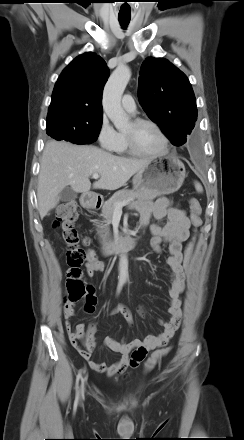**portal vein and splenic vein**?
Wrapping results in <instances>:
<instances>
[{
	"mask_svg": "<svg viewBox=\"0 0 244 440\" xmlns=\"http://www.w3.org/2000/svg\"><path fill=\"white\" fill-rule=\"evenodd\" d=\"M92 178L93 179H98L99 178V174H93L92 175ZM131 201H133L132 199H130V200H126V201H124V202H121V203H116V205H115V210L116 211H121L122 210V208L125 206V205H127L129 202H131Z\"/></svg>",
	"mask_w": 244,
	"mask_h": 440,
	"instance_id": "obj_1",
	"label": "portal vein and splenic vein"
}]
</instances>
